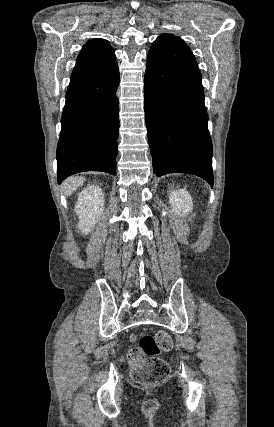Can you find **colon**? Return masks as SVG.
Listing matches in <instances>:
<instances>
[{"label":"colon","instance_id":"obj_1","mask_svg":"<svg viewBox=\"0 0 274 427\" xmlns=\"http://www.w3.org/2000/svg\"><path fill=\"white\" fill-rule=\"evenodd\" d=\"M172 347L169 334L158 331L143 335L138 344L131 347L127 357L132 380L140 385H154L166 381L171 375L169 364L158 358Z\"/></svg>","mask_w":274,"mask_h":427}]
</instances>
